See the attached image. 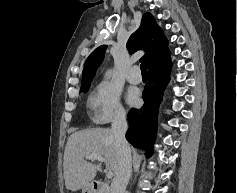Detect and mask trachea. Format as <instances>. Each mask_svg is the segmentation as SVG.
Here are the masks:
<instances>
[{
    "label": "trachea",
    "mask_w": 237,
    "mask_h": 193,
    "mask_svg": "<svg viewBox=\"0 0 237 193\" xmlns=\"http://www.w3.org/2000/svg\"><path fill=\"white\" fill-rule=\"evenodd\" d=\"M140 69H141L142 74H147V69H146L145 63H141Z\"/></svg>",
    "instance_id": "obj_1"
}]
</instances>
